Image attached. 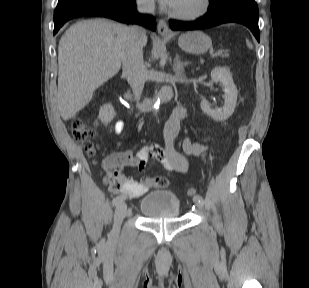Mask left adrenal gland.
Masks as SVG:
<instances>
[{
	"mask_svg": "<svg viewBox=\"0 0 309 288\" xmlns=\"http://www.w3.org/2000/svg\"><path fill=\"white\" fill-rule=\"evenodd\" d=\"M188 64H189L188 61L182 62L180 60V56L176 55V57L174 58V65H173V70L175 72V76L176 77H183L184 67L187 66Z\"/></svg>",
	"mask_w": 309,
	"mask_h": 288,
	"instance_id": "obj_1",
	"label": "left adrenal gland"
}]
</instances>
